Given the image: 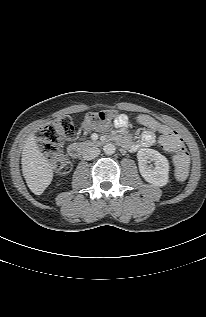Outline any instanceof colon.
<instances>
[{
    "label": "colon",
    "mask_w": 206,
    "mask_h": 317,
    "mask_svg": "<svg viewBox=\"0 0 206 317\" xmlns=\"http://www.w3.org/2000/svg\"><path fill=\"white\" fill-rule=\"evenodd\" d=\"M117 117V112L112 109L91 112L85 116L83 126L88 130H107ZM73 132V121L69 116L59 117L37 132L39 146L58 175H65L71 169V161L62 151V146L71 139ZM160 143L166 151L173 154L176 178L184 180L189 172L190 158L182 139L173 132L164 136Z\"/></svg>",
    "instance_id": "colon-1"
}]
</instances>
